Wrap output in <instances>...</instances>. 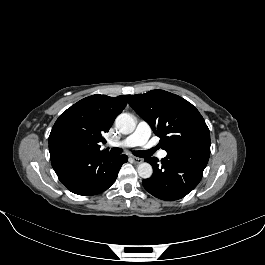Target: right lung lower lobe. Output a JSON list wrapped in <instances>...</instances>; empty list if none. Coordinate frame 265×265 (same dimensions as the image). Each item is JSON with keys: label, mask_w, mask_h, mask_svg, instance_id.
<instances>
[{"label": "right lung lower lobe", "mask_w": 265, "mask_h": 265, "mask_svg": "<svg viewBox=\"0 0 265 265\" xmlns=\"http://www.w3.org/2000/svg\"><path fill=\"white\" fill-rule=\"evenodd\" d=\"M126 155L109 152L86 154L51 161L59 180L78 195H94L108 189L116 180Z\"/></svg>", "instance_id": "right-lung-lower-lobe-1"}]
</instances>
